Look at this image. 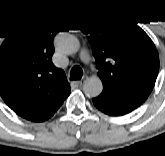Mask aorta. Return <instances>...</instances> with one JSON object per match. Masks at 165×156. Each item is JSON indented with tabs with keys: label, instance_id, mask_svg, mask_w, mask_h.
I'll return each instance as SVG.
<instances>
[{
	"label": "aorta",
	"instance_id": "1",
	"mask_svg": "<svg viewBox=\"0 0 165 156\" xmlns=\"http://www.w3.org/2000/svg\"><path fill=\"white\" fill-rule=\"evenodd\" d=\"M58 47L66 54H74L79 51L80 42L72 35H65L64 37L60 38ZM102 90L103 84L101 79L98 77L88 78L83 85V91L88 97H96L101 94Z\"/></svg>",
	"mask_w": 165,
	"mask_h": 156
}]
</instances>
